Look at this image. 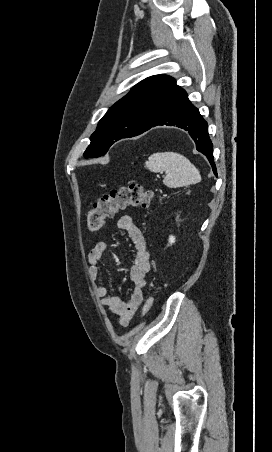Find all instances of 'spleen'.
Listing matches in <instances>:
<instances>
[{"instance_id": "obj_1", "label": "spleen", "mask_w": 272, "mask_h": 452, "mask_svg": "<svg viewBox=\"0 0 272 452\" xmlns=\"http://www.w3.org/2000/svg\"><path fill=\"white\" fill-rule=\"evenodd\" d=\"M145 166L152 172H165L163 183L171 188L188 186L201 181L199 170L188 158L176 152L153 153Z\"/></svg>"}]
</instances>
